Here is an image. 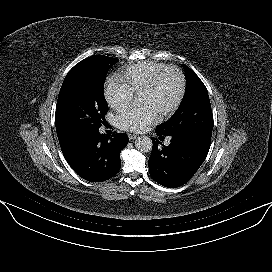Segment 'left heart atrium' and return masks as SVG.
Wrapping results in <instances>:
<instances>
[{
  "label": "left heart atrium",
  "mask_w": 272,
  "mask_h": 272,
  "mask_svg": "<svg viewBox=\"0 0 272 272\" xmlns=\"http://www.w3.org/2000/svg\"><path fill=\"white\" fill-rule=\"evenodd\" d=\"M159 114L148 104L131 105L116 116L117 126L125 131L142 132L158 120Z\"/></svg>",
  "instance_id": "obj_1"
}]
</instances>
